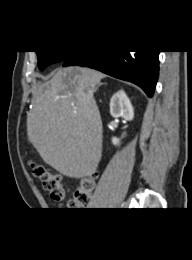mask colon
<instances>
[{"label":"colon","instance_id":"obj_1","mask_svg":"<svg viewBox=\"0 0 192 260\" xmlns=\"http://www.w3.org/2000/svg\"><path fill=\"white\" fill-rule=\"evenodd\" d=\"M31 168L34 176L41 181L43 189L53 200L62 201L66 197L67 189L62 183L60 175L35 162L31 163ZM94 178L93 175L81 181L69 203L71 208H83L89 205L94 188Z\"/></svg>","mask_w":192,"mask_h":260}]
</instances>
